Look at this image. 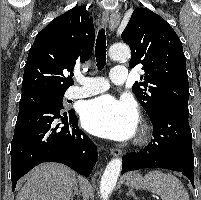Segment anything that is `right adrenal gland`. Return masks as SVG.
Segmentation results:
<instances>
[{"instance_id":"right-adrenal-gland-1","label":"right adrenal gland","mask_w":201,"mask_h":200,"mask_svg":"<svg viewBox=\"0 0 201 200\" xmlns=\"http://www.w3.org/2000/svg\"><path fill=\"white\" fill-rule=\"evenodd\" d=\"M75 195H79L77 184L75 185L74 192H73L70 200H73V198L75 197Z\"/></svg>"}]
</instances>
